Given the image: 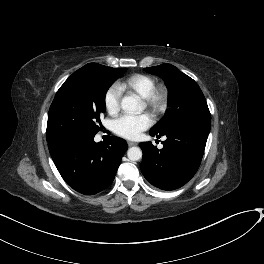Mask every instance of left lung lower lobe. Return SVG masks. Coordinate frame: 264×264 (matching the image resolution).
<instances>
[{
  "label": "left lung lower lobe",
  "instance_id": "left-lung-lower-lobe-1",
  "mask_svg": "<svg viewBox=\"0 0 264 264\" xmlns=\"http://www.w3.org/2000/svg\"><path fill=\"white\" fill-rule=\"evenodd\" d=\"M209 131L210 120L189 119L164 134L167 139L161 150L151 142L140 143L143 151L140 169L146 180L163 190L185 185L200 166Z\"/></svg>",
  "mask_w": 264,
  "mask_h": 264
}]
</instances>
